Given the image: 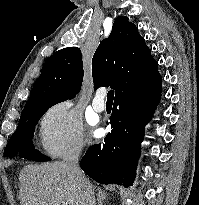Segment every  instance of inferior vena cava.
Instances as JSON below:
<instances>
[{"instance_id": "inferior-vena-cava-1", "label": "inferior vena cava", "mask_w": 199, "mask_h": 205, "mask_svg": "<svg viewBox=\"0 0 199 205\" xmlns=\"http://www.w3.org/2000/svg\"><path fill=\"white\" fill-rule=\"evenodd\" d=\"M81 149H75L70 151L66 157L65 161L69 166L71 172L78 178L80 181L84 180V174L82 173L79 166V157H80Z\"/></svg>"}]
</instances>
